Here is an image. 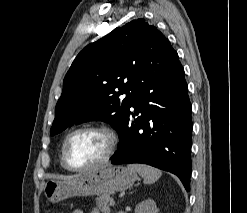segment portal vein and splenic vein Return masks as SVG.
Returning a JSON list of instances; mask_svg holds the SVG:
<instances>
[{
  "mask_svg": "<svg viewBox=\"0 0 247 213\" xmlns=\"http://www.w3.org/2000/svg\"><path fill=\"white\" fill-rule=\"evenodd\" d=\"M110 205H111V206H114V205H115V201H114V199H111V201H110Z\"/></svg>",
  "mask_w": 247,
  "mask_h": 213,
  "instance_id": "18ae733b",
  "label": "portal vein and splenic vein"
}]
</instances>
